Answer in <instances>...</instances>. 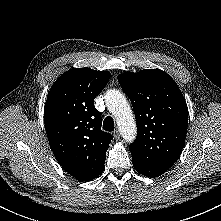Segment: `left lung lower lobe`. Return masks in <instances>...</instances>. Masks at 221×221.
Returning a JSON list of instances; mask_svg holds the SVG:
<instances>
[{"mask_svg":"<svg viewBox=\"0 0 221 221\" xmlns=\"http://www.w3.org/2000/svg\"><path fill=\"white\" fill-rule=\"evenodd\" d=\"M133 165L140 174L148 176V177H155V176L162 175L169 169L165 167H155V166L144 165L137 161H133Z\"/></svg>","mask_w":221,"mask_h":221,"instance_id":"left-lung-lower-lobe-1","label":"left lung lower lobe"}]
</instances>
